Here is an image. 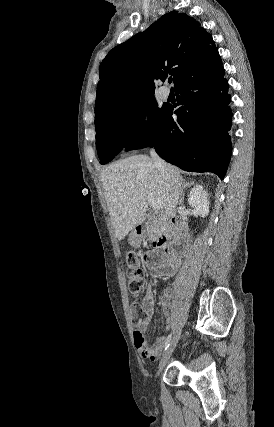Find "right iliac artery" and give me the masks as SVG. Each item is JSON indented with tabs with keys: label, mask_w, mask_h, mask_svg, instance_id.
<instances>
[{
	"label": "right iliac artery",
	"mask_w": 274,
	"mask_h": 427,
	"mask_svg": "<svg viewBox=\"0 0 274 427\" xmlns=\"http://www.w3.org/2000/svg\"><path fill=\"white\" fill-rule=\"evenodd\" d=\"M171 337H172V334L170 333V334L168 335L167 339H166V342H165V349H164V351H166V350H167V348L169 347V345H170V341H171Z\"/></svg>",
	"instance_id": "obj_1"
}]
</instances>
